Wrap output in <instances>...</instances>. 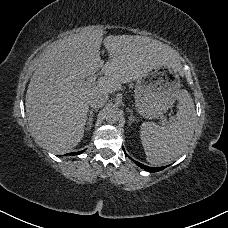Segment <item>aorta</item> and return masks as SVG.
Wrapping results in <instances>:
<instances>
[{
    "label": "aorta",
    "mask_w": 228,
    "mask_h": 228,
    "mask_svg": "<svg viewBox=\"0 0 228 228\" xmlns=\"http://www.w3.org/2000/svg\"><path fill=\"white\" fill-rule=\"evenodd\" d=\"M119 119L118 109L111 107L107 110L106 120L110 123H115Z\"/></svg>",
    "instance_id": "1"
}]
</instances>
